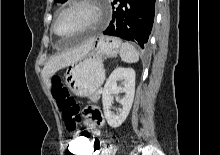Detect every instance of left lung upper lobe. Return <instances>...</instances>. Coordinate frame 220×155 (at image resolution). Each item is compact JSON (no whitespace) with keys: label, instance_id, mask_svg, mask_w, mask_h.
Listing matches in <instances>:
<instances>
[{"label":"left lung upper lobe","instance_id":"obj_1","mask_svg":"<svg viewBox=\"0 0 220 155\" xmlns=\"http://www.w3.org/2000/svg\"><path fill=\"white\" fill-rule=\"evenodd\" d=\"M55 2L64 3L66 0H54Z\"/></svg>","mask_w":220,"mask_h":155}]
</instances>
